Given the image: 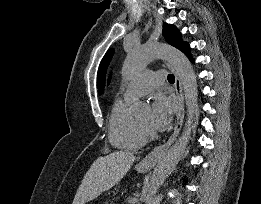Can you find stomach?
Masks as SVG:
<instances>
[{"instance_id": "0dacf381", "label": "stomach", "mask_w": 261, "mask_h": 204, "mask_svg": "<svg viewBox=\"0 0 261 204\" xmlns=\"http://www.w3.org/2000/svg\"><path fill=\"white\" fill-rule=\"evenodd\" d=\"M136 168L139 172H146L149 169L148 167H144L142 165H137Z\"/></svg>"}]
</instances>
